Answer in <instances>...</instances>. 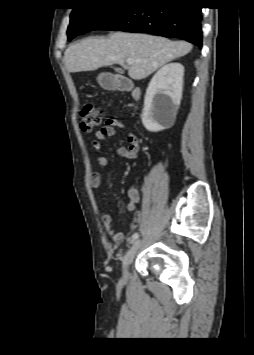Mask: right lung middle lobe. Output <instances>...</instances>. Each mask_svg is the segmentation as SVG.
Wrapping results in <instances>:
<instances>
[{
  "label": "right lung middle lobe",
  "instance_id": "obj_1",
  "mask_svg": "<svg viewBox=\"0 0 254 355\" xmlns=\"http://www.w3.org/2000/svg\"><path fill=\"white\" fill-rule=\"evenodd\" d=\"M125 4L126 2L117 0H92L84 6L73 8L67 31L68 40L98 29Z\"/></svg>",
  "mask_w": 254,
  "mask_h": 355
}]
</instances>
